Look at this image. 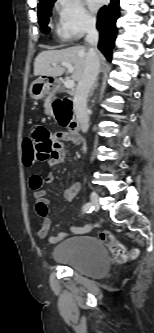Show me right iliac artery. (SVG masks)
<instances>
[{
	"label": "right iliac artery",
	"instance_id": "obj_1",
	"mask_svg": "<svg viewBox=\"0 0 154 333\" xmlns=\"http://www.w3.org/2000/svg\"><path fill=\"white\" fill-rule=\"evenodd\" d=\"M93 209H94V206H93L92 203H90V202L86 203V204L83 206V211H84L85 213H90V212L93 211Z\"/></svg>",
	"mask_w": 154,
	"mask_h": 333
}]
</instances>
